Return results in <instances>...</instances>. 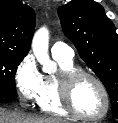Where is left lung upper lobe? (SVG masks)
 <instances>
[{"instance_id":"5c2ea615","label":"left lung upper lobe","mask_w":118,"mask_h":123,"mask_svg":"<svg viewBox=\"0 0 118 123\" xmlns=\"http://www.w3.org/2000/svg\"><path fill=\"white\" fill-rule=\"evenodd\" d=\"M64 34L99 77L118 119V34L104 8L93 0H74L58 8Z\"/></svg>"}]
</instances>
